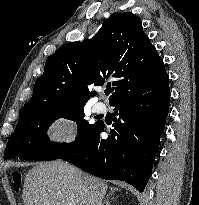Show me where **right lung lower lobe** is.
Here are the masks:
<instances>
[{
  "instance_id": "right-lung-lower-lobe-1",
  "label": "right lung lower lobe",
  "mask_w": 199,
  "mask_h": 205,
  "mask_svg": "<svg viewBox=\"0 0 199 205\" xmlns=\"http://www.w3.org/2000/svg\"><path fill=\"white\" fill-rule=\"evenodd\" d=\"M166 71L143 77L110 104L119 116L107 139L100 123L79 152L62 158L107 180H121L143 191L151 174L168 115L170 90Z\"/></svg>"
}]
</instances>
